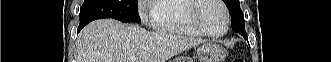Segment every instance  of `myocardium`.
<instances>
[{"instance_id": "obj_1", "label": "myocardium", "mask_w": 331, "mask_h": 62, "mask_svg": "<svg viewBox=\"0 0 331 62\" xmlns=\"http://www.w3.org/2000/svg\"><path fill=\"white\" fill-rule=\"evenodd\" d=\"M208 1L215 2L220 6V8L223 11L224 20H225V28L224 30L219 34L210 33L207 31L204 26L202 25L201 21L198 17V11L199 9ZM187 20L189 24L201 35L207 36L210 38H221L224 35L227 34L229 27H230V16L229 12L225 6V4L221 0H189L188 6H187Z\"/></svg>"}]
</instances>
